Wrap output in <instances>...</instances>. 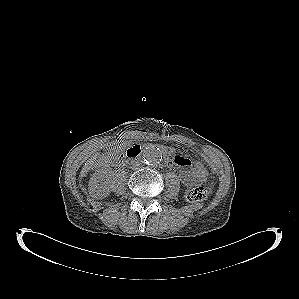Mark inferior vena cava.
Returning <instances> with one entry per match:
<instances>
[{
    "label": "inferior vena cava",
    "mask_w": 299,
    "mask_h": 299,
    "mask_svg": "<svg viewBox=\"0 0 299 299\" xmlns=\"http://www.w3.org/2000/svg\"><path fill=\"white\" fill-rule=\"evenodd\" d=\"M140 162L139 161H133L132 163H131V167H132V169H137L139 166H140Z\"/></svg>",
    "instance_id": "1"
}]
</instances>
